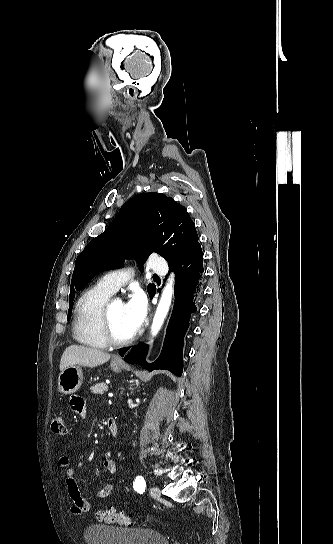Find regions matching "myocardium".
<instances>
[{
  "label": "myocardium",
  "instance_id": "1",
  "mask_svg": "<svg viewBox=\"0 0 333 544\" xmlns=\"http://www.w3.org/2000/svg\"><path fill=\"white\" fill-rule=\"evenodd\" d=\"M114 301H116V300L115 299H109L106 302V304L104 305V307H103L102 315H101L102 333H103V336H104L105 340L110 345H114V346L128 345V344L132 343L136 339L137 334L134 333L132 336L127 337V338H119V337H117L115 335V333L113 331V328H112L111 319H110V310H111V306H112Z\"/></svg>",
  "mask_w": 333,
  "mask_h": 544
}]
</instances>
